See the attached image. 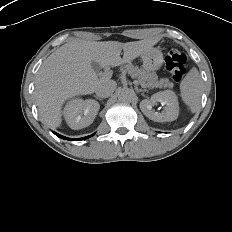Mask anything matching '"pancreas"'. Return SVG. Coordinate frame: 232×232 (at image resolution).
I'll return each mask as SVG.
<instances>
[{"label":"pancreas","mask_w":232,"mask_h":232,"mask_svg":"<svg viewBox=\"0 0 232 232\" xmlns=\"http://www.w3.org/2000/svg\"><path fill=\"white\" fill-rule=\"evenodd\" d=\"M123 70L128 71V73L133 77L137 78L140 83H145L148 87H171L172 83L168 79L158 80V76L155 72H150L146 70H141L138 67H134L131 64L125 65Z\"/></svg>","instance_id":"cf45deb5"}]
</instances>
